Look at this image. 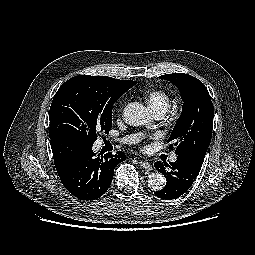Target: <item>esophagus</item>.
I'll list each match as a JSON object with an SVG mask.
<instances>
[{"mask_svg": "<svg viewBox=\"0 0 255 255\" xmlns=\"http://www.w3.org/2000/svg\"><path fill=\"white\" fill-rule=\"evenodd\" d=\"M139 164H140V166H142L143 168H145L147 170L153 169L152 165L147 161H140Z\"/></svg>", "mask_w": 255, "mask_h": 255, "instance_id": "34e87169", "label": "esophagus"}]
</instances>
